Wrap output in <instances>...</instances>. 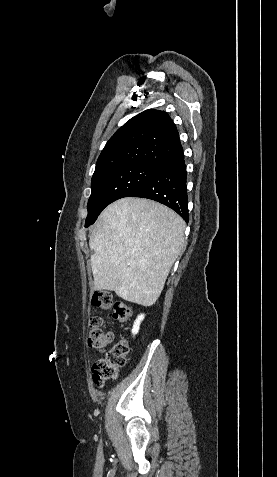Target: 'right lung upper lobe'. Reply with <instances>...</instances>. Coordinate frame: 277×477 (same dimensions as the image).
<instances>
[{"label": "right lung upper lobe", "instance_id": "right-lung-upper-lobe-1", "mask_svg": "<svg viewBox=\"0 0 277 477\" xmlns=\"http://www.w3.org/2000/svg\"><path fill=\"white\" fill-rule=\"evenodd\" d=\"M182 150L177 128L167 113L146 110L131 118L111 137L94 173L133 163L158 167Z\"/></svg>", "mask_w": 277, "mask_h": 477}]
</instances>
